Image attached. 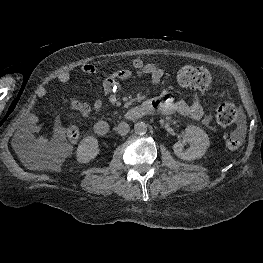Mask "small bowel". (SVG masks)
<instances>
[{
    "label": "small bowel",
    "instance_id": "obj_1",
    "mask_svg": "<svg viewBox=\"0 0 263 263\" xmlns=\"http://www.w3.org/2000/svg\"><path fill=\"white\" fill-rule=\"evenodd\" d=\"M81 71L86 75H94L97 73V67L93 64L86 63L82 65ZM164 74L165 71L163 68L154 63H147L142 59L136 58L132 61L130 69H118L106 76L102 84L103 92L105 94L114 93L121 88V82L123 80L133 77L149 76L151 84L156 85L161 81ZM70 78L71 75L69 72H61L55 76V80L60 83H67ZM45 95L46 89L44 87H40L37 90V96L42 98ZM69 103L74 110L82 114H89L93 111H98L103 104L101 98H96L92 104L82 102L76 98H71ZM144 103L150 106L151 111H159L167 115L178 113L195 120H200L209 128L213 127L212 118L209 115H205L203 107L198 101L187 102L182 99H175L171 93L164 92ZM36 123V117L34 115H30L27 119L26 126L22 129L24 138L32 140L37 147L44 149L53 148L62 142L64 130L60 123L55 124L50 138L44 136H34L37 132Z\"/></svg>",
    "mask_w": 263,
    "mask_h": 263
}]
</instances>
